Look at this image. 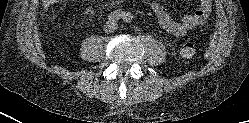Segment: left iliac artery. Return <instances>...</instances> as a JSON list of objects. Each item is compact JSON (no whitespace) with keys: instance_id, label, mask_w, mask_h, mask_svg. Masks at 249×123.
<instances>
[{"instance_id":"left-iliac-artery-1","label":"left iliac artery","mask_w":249,"mask_h":123,"mask_svg":"<svg viewBox=\"0 0 249 123\" xmlns=\"http://www.w3.org/2000/svg\"><path fill=\"white\" fill-rule=\"evenodd\" d=\"M133 16L131 15V13H125L124 16H123V21L124 22H130L132 20Z\"/></svg>"}]
</instances>
